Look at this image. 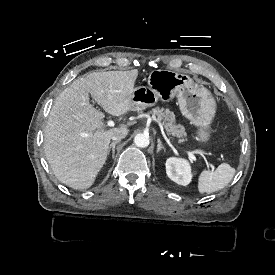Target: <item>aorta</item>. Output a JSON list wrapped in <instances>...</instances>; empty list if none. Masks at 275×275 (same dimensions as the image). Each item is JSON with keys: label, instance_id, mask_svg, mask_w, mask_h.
Instances as JSON below:
<instances>
[{"label": "aorta", "instance_id": "aorta-1", "mask_svg": "<svg viewBox=\"0 0 275 275\" xmlns=\"http://www.w3.org/2000/svg\"><path fill=\"white\" fill-rule=\"evenodd\" d=\"M134 143L137 147L145 148L150 144V139L147 134L139 133L134 137Z\"/></svg>", "mask_w": 275, "mask_h": 275}]
</instances>
